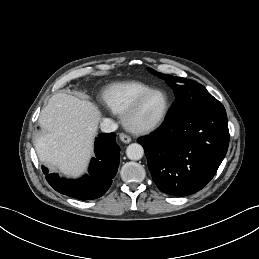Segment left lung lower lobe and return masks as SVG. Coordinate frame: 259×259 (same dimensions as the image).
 <instances>
[{"instance_id":"obj_1","label":"left lung lower lobe","mask_w":259,"mask_h":259,"mask_svg":"<svg viewBox=\"0 0 259 259\" xmlns=\"http://www.w3.org/2000/svg\"><path fill=\"white\" fill-rule=\"evenodd\" d=\"M138 142L159 190L174 196L193 194L209 183L226 155L225 108L219 103L166 119L157 131Z\"/></svg>"}]
</instances>
